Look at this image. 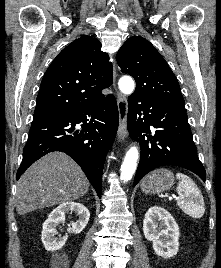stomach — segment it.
Segmentation results:
<instances>
[{
  "label": "stomach",
  "instance_id": "obj_1",
  "mask_svg": "<svg viewBox=\"0 0 221 268\" xmlns=\"http://www.w3.org/2000/svg\"><path fill=\"white\" fill-rule=\"evenodd\" d=\"M173 183L174 175L170 170L157 169L143 179L141 189L145 193H161L169 189Z\"/></svg>",
  "mask_w": 221,
  "mask_h": 268
}]
</instances>
